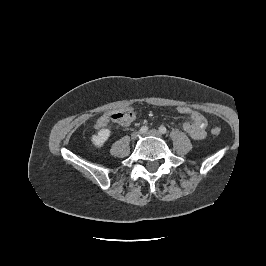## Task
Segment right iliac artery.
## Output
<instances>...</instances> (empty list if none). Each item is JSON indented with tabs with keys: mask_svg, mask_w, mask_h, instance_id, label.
<instances>
[{
	"mask_svg": "<svg viewBox=\"0 0 266 266\" xmlns=\"http://www.w3.org/2000/svg\"><path fill=\"white\" fill-rule=\"evenodd\" d=\"M148 131V127L147 126H142L141 128H140V133L141 134H144V133H146Z\"/></svg>",
	"mask_w": 266,
	"mask_h": 266,
	"instance_id": "obj_1",
	"label": "right iliac artery"
}]
</instances>
